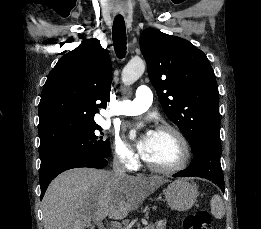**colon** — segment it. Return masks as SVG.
I'll return each mask as SVG.
<instances>
[{"label": "colon", "instance_id": "obj_1", "mask_svg": "<svg viewBox=\"0 0 261 229\" xmlns=\"http://www.w3.org/2000/svg\"><path fill=\"white\" fill-rule=\"evenodd\" d=\"M211 224L210 213L204 209L189 213L184 219V229H210Z\"/></svg>", "mask_w": 261, "mask_h": 229}]
</instances>
